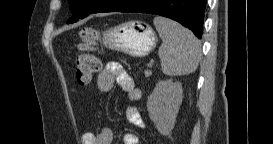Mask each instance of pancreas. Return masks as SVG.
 I'll return each mask as SVG.
<instances>
[{
  "instance_id": "pancreas-1",
  "label": "pancreas",
  "mask_w": 273,
  "mask_h": 144,
  "mask_svg": "<svg viewBox=\"0 0 273 144\" xmlns=\"http://www.w3.org/2000/svg\"><path fill=\"white\" fill-rule=\"evenodd\" d=\"M144 74H145V77H149L152 74V72L149 70H146L144 71Z\"/></svg>"
}]
</instances>
